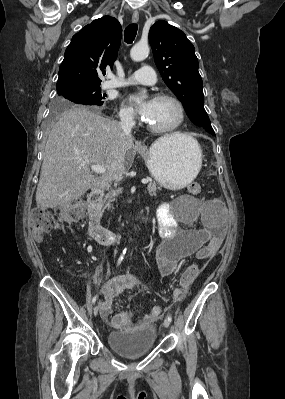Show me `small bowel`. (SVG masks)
<instances>
[{
  "instance_id": "1",
  "label": "small bowel",
  "mask_w": 285,
  "mask_h": 399,
  "mask_svg": "<svg viewBox=\"0 0 285 399\" xmlns=\"http://www.w3.org/2000/svg\"><path fill=\"white\" fill-rule=\"evenodd\" d=\"M156 220L162 240L156 247L154 259L160 275L169 276L176 271L180 260L193 253L197 258H201V249L206 243L222 239L225 211L219 199H209L202 205L191 204L178 214L172 211L170 203H161L156 210ZM149 281L150 278L133 273L113 276L103 287L104 298L99 304L102 320L115 329H133L136 324L131 313L119 312L110 315L112 302L130 288ZM185 294L186 292L176 290L174 299L180 300ZM145 322L146 320L140 325H144Z\"/></svg>"
}]
</instances>
